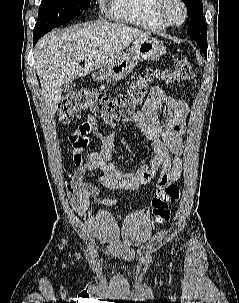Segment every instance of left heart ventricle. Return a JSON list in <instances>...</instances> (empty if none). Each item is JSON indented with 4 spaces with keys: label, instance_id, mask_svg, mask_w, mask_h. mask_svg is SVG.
<instances>
[{
    "label": "left heart ventricle",
    "instance_id": "left-heart-ventricle-1",
    "mask_svg": "<svg viewBox=\"0 0 239 303\" xmlns=\"http://www.w3.org/2000/svg\"><path fill=\"white\" fill-rule=\"evenodd\" d=\"M166 13L173 22H180L182 20V9L176 2L172 1L168 3L166 7Z\"/></svg>",
    "mask_w": 239,
    "mask_h": 303
}]
</instances>
